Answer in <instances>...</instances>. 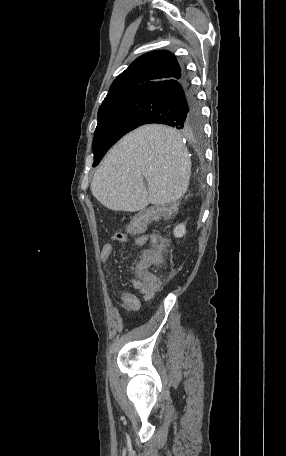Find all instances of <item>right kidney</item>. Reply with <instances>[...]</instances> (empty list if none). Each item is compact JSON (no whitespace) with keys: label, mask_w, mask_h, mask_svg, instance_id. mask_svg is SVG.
Segmentation results:
<instances>
[{"label":"right kidney","mask_w":286,"mask_h":456,"mask_svg":"<svg viewBox=\"0 0 286 456\" xmlns=\"http://www.w3.org/2000/svg\"><path fill=\"white\" fill-rule=\"evenodd\" d=\"M186 229L184 224H179L174 229V236L177 238H181L185 235Z\"/></svg>","instance_id":"1"}]
</instances>
